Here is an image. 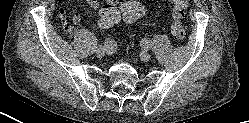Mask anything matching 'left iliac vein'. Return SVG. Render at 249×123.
I'll return each instance as SVG.
<instances>
[{
  "label": "left iliac vein",
  "instance_id": "left-iliac-vein-1",
  "mask_svg": "<svg viewBox=\"0 0 249 123\" xmlns=\"http://www.w3.org/2000/svg\"><path fill=\"white\" fill-rule=\"evenodd\" d=\"M139 56L140 59L144 62H148L151 59L150 54L146 51H141Z\"/></svg>",
  "mask_w": 249,
  "mask_h": 123
}]
</instances>
